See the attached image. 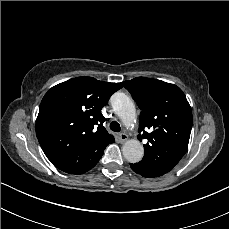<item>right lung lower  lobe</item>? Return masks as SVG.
Instances as JSON below:
<instances>
[{
    "label": "right lung lower lobe",
    "instance_id": "obj_1",
    "mask_svg": "<svg viewBox=\"0 0 229 229\" xmlns=\"http://www.w3.org/2000/svg\"><path fill=\"white\" fill-rule=\"evenodd\" d=\"M102 155H103V153H102L100 156H98V158L95 160V162H94L90 167H88V168L86 169V171H84L83 173H85V172H87L88 170H90L91 168H93V167L97 164V162L99 161V159L101 158Z\"/></svg>",
    "mask_w": 229,
    "mask_h": 229
}]
</instances>
